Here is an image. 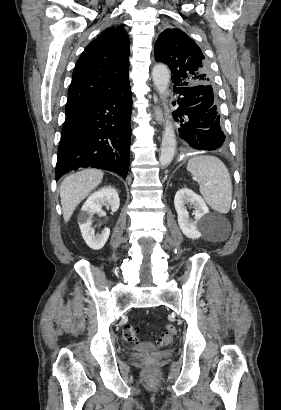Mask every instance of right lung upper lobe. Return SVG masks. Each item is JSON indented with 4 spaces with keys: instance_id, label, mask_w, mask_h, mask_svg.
Listing matches in <instances>:
<instances>
[{
    "instance_id": "cb5924a9",
    "label": "right lung upper lobe",
    "mask_w": 281,
    "mask_h": 410,
    "mask_svg": "<svg viewBox=\"0 0 281 410\" xmlns=\"http://www.w3.org/2000/svg\"><path fill=\"white\" fill-rule=\"evenodd\" d=\"M128 34L122 26L105 29L81 54L68 90L66 111L129 86Z\"/></svg>"
}]
</instances>
